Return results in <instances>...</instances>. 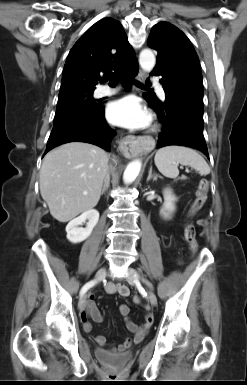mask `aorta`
<instances>
[{"instance_id":"aorta-1","label":"aorta","mask_w":247,"mask_h":385,"mask_svg":"<svg viewBox=\"0 0 247 385\" xmlns=\"http://www.w3.org/2000/svg\"><path fill=\"white\" fill-rule=\"evenodd\" d=\"M139 64L141 68L147 72H150L154 68L156 64V59L153 52L150 49H143L140 52ZM141 166L142 164L139 160H134L130 162L123 174L124 183L126 184L132 183L136 179V177L139 175Z\"/></svg>"}]
</instances>
